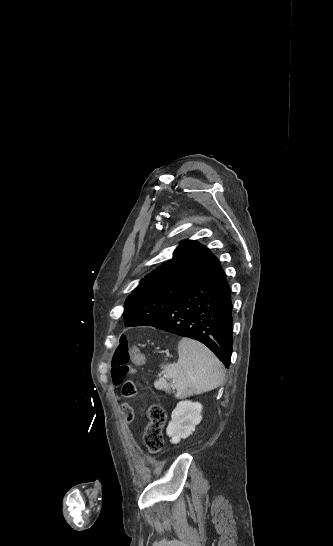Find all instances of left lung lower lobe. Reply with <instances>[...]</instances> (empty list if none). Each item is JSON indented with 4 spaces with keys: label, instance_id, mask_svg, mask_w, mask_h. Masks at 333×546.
Wrapping results in <instances>:
<instances>
[{
    "label": "left lung lower lobe",
    "instance_id": "left-lung-lower-lobe-1",
    "mask_svg": "<svg viewBox=\"0 0 333 546\" xmlns=\"http://www.w3.org/2000/svg\"><path fill=\"white\" fill-rule=\"evenodd\" d=\"M232 301L226 275L211 254L189 288L173 303L163 308L154 323L142 325L130 315L125 325L153 326L205 344L229 367L232 354Z\"/></svg>",
    "mask_w": 333,
    "mask_h": 546
}]
</instances>
